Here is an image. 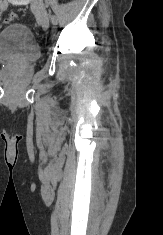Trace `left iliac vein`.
I'll return each instance as SVG.
<instances>
[{"mask_svg": "<svg viewBox=\"0 0 163 235\" xmlns=\"http://www.w3.org/2000/svg\"><path fill=\"white\" fill-rule=\"evenodd\" d=\"M31 4L38 14L41 27L47 30L49 28V16L43 0H32Z\"/></svg>", "mask_w": 163, "mask_h": 235, "instance_id": "left-iliac-vein-1", "label": "left iliac vein"}]
</instances>
